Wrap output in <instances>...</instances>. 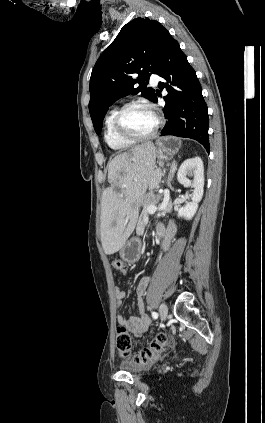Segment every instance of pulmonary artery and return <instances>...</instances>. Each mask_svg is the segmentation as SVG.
Wrapping results in <instances>:
<instances>
[{"label":"pulmonary artery","instance_id":"1","mask_svg":"<svg viewBox=\"0 0 265 423\" xmlns=\"http://www.w3.org/2000/svg\"><path fill=\"white\" fill-rule=\"evenodd\" d=\"M151 81H152V84H153V85H156V84H157V82H158V77H157V76H153V77L151 78Z\"/></svg>","mask_w":265,"mask_h":423}]
</instances>
